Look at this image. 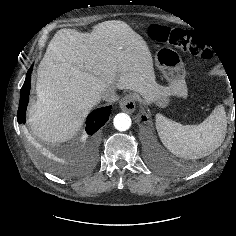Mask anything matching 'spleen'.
I'll return each mask as SVG.
<instances>
[{
  "mask_svg": "<svg viewBox=\"0 0 236 236\" xmlns=\"http://www.w3.org/2000/svg\"><path fill=\"white\" fill-rule=\"evenodd\" d=\"M156 129L163 145L174 155L198 159L215 151L225 139L226 113L222 105L199 125H182L156 114Z\"/></svg>",
  "mask_w": 236,
  "mask_h": 236,
  "instance_id": "3e777b00",
  "label": "spleen"
}]
</instances>
